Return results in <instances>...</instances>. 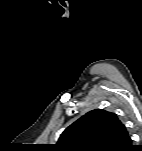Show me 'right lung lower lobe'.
<instances>
[{"mask_svg":"<svg viewBox=\"0 0 142 151\" xmlns=\"http://www.w3.org/2000/svg\"><path fill=\"white\" fill-rule=\"evenodd\" d=\"M135 147V146H134ZM133 149V147H130V149L129 150H127V151H131ZM134 150V149H133ZM137 150H141L140 148L139 149H137Z\"/></svg>","mask_w":142,"mask_h":151,"instance_id":"obj_1","label":"right lung lower lobe"}]
</instances>
